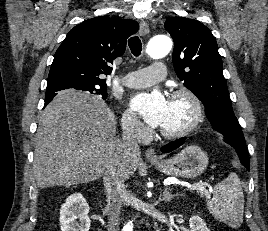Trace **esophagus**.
<instances>
[{"label":"esophagus","instance_id":"obj_1","mask_svg":"<svg viewBox=\"0 0 268 231\" xmlns=\"http://www.w3.org/2000/svg\"><path fill=\"white\" fill-rule=\"evenodd\" d=\"M140 32L143 35L148 34L149 32V26L145 20H140ZM145 157L150 161H158L159 157L156 154L155 150L153 148H147L145 151Z\"/></svg>","mask_w":268,"mask_h":231}]
</instances>
